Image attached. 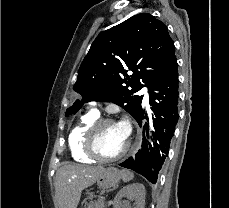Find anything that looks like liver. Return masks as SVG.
I'll return each mask as SVG.
<instances>
[{
    "label": "liver",
    "mask_w": 229,
    "mask_h": 208,
    "mask_svg": "<svg viewBox=\"0 0 229 208\" xmlns=\"http://www.w3.org/2000/svg\"><path fill=\"white\" fill-rule=\"evenodd\" d=\"M103 166L66 164L56 172L55 190L59 208H77L82 190L97 182Z\"/></svg>",
    "instance_id": "obj_1"
}]
</instances>
